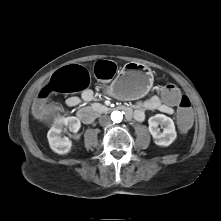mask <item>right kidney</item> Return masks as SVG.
<instances>
[{
  "instance_id": "ca27d5eb",
  "label": "right kidney",
  "mask_w": 221,
  "mask_h": 221,
  "mask_svg": "<svg viewBox=\"0 0 221 221\" xmlns=\"http://www.w3.org/2000/svg\"><path fill=\"white\" fill-rule=\"evenodd\" d=\"M67 127L71 132L77 133L81 127L80 120L77 117H58L54 120L51 129L48 131L47 138L50 148L58 154H67L70 152L72 142L68 137H62L63 129Z\"/></svg>"
}]
</instances>
